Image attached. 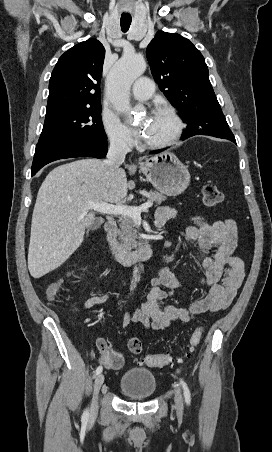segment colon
<instances>
[{
  "label": "colon",
  "instance_id": "5ec220e1",
  "mask_svg": "<svg viewBox=\"0 0 272 452\" xmlns=\"http://www.w3.org/2000/svg\"><path fill=\"white\" fill-rule=\"evenodd\" d=\"M203 202L208 207H215L222 204L225 200L223 192L213 183H207L202 190ZM61 292V281L58 280L50 285L47 291L49 300H54ZM202 327L196 328L190 335L188 348L192 351L200 342L202 337ZM100 352L103 354L101 362L106 367H120L122 360L117 354H109L108 348L104 341L98 342ZM129 350L133 354H140L142 351V344L139 340H131L128 343ZM141 364L151 367H164L173 363V357L169 354H149L140 360Z\"/></svg>",
  "mask_w": 272,
  "mask_h": 452
}]
</instances>
